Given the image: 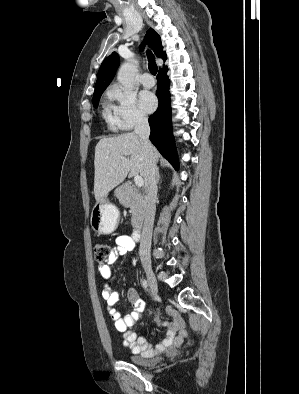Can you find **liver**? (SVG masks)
Returning <instances> with one entry per match:
<instances>
[{"mask_svg":"<svg viewBox=\"0 0 299 394\" xmlns=\"http://www.w3.org/2000/svg\"><path fill=\"white\" fill-rule=\"evenodd\" d=\"M153 155L158 161L160 154L155 147ZM94 169V196L97 202L103 200L127 176L140 174L144 177L145 156L139 137L128 132L100 139L95 147Z\"/></svg>","mask_w":299,"mask_h":394,"instance_id":"liver-1","label":"liver"}]
</instances>
